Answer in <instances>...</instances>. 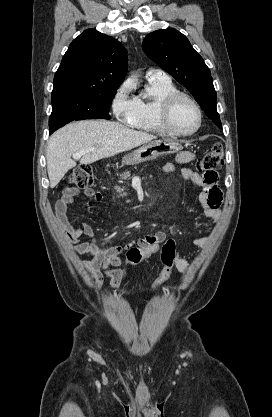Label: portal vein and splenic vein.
<instances>
[{
    "label": "portal vein and splenic vein",
    "mask_w": 272,
    "mask_h": 417,
    "mask_svg": "<svg viewBox=\"0 0 272 417\" xmlns=\"http://www.w3.org/2000/svg\"><path fill=\"white\" fill-rule=\"evenodd\" d=\"M92 150H93V149H85V150H82V151H79V152L73 153L72 157H73L74 159H80V158L82 157V155H84V154H86V153H88V152H90V151H92Z\"/></svg>",
    "instance_id": "1"
}]
</instances>
